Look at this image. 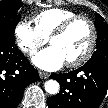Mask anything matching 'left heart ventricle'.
Wrapping results in <instances>:
<instances>
[{
	"label": "left heart ventricle",
	"instance_id": "obj_1",
	"mask_svg": "<svg viewBox=\"0 0 108 108\" xmlns=\"http://www.w3.org/2000/svg\"><path fill=\"white\" fill-rule=\"evenodd\" d=\"M90 28L85 22L75 23L65 34L54 38L51 45L57 47L66 62L81 56L90 41Z\"/></svg>",
	"mask_w": 108,
	"mask_h": 108
}]
</instances>
